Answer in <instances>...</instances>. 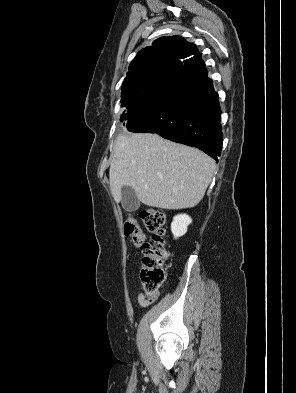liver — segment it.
Here are the masks:
<instances>
[{"mask_svg":"<svg viewBox=\"0 0 296 393\" xmlns=\"http://www.w3.org/2000/svg\"><path fill=\"white\" fill-rule=\"evenodd\" d=\"M215 168L214 160L198 149L157 134L124 132L114 144L110 190L116 202L122 187L129 186L147 206L192 208L203 198Z\"/></svg>","mask_w":296,"mask_h":393,"instance_id":"1","label":"liver"}]
</instances>
